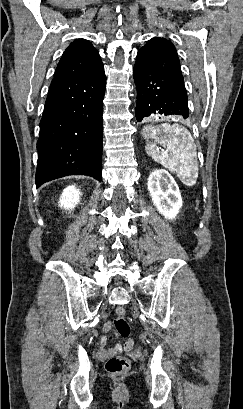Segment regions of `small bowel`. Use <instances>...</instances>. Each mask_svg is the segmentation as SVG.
Instances as JSON below:
<instances>
[{"mask_svg": "<svg viewBox=\"0 0 243 409\" xmlns=\"http://www.w3.org/2000/svg\"><path fill=\"white\" fill-rule=\"evenodd\" d=\"M113 328V321H107L103 326V335L100 338V344L102 347V353L104 355L115 354L122 351L130 350L131 346L117 344L112 347H107V337L105 333H108Z\"/></svg>", "mask_w": 243, "mask_h": 409, "instance_id": "c3829d8e", "label": "small bowel"}]
</instances>
